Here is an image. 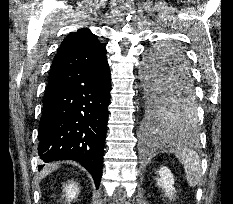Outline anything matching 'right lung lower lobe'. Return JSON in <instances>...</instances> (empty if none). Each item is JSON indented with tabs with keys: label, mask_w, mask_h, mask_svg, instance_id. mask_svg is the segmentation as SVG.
<instances>
[{
	"label": "right lung lower lobe",
	"mask_w": 233,
	"mask_h": 204,
	"mask_svg": "<svg viewBox=\"0 0 233 204\" xmlns=\"http://www.w3.org/2000/svg\"><path fill=\"white\" fill-rule=\"evenodd\" d=\"M110 89L106 64L81 71L68 82L47 90L41 116L45 124L38 132L41 160L78 161L90 172L97 188L102 175Z\"/></svg>",
	"instance_id": "right-lung-lower-lobe-1"
}]
</instances>
